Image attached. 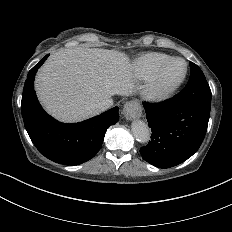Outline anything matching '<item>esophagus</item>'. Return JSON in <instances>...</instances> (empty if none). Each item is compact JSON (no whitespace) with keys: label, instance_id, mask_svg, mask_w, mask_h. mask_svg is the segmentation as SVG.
I'll use <instances>...</instances> for the list:
<instances>
[{"label":"esophagus","instance_id":"obj_1","mask_svg":"<svg viewBox=\"0 0 232 232\" xmlns=\"http://www.w3.org/2000/svg\"><path fill=\"white\" fill-rule=\"evenodd\" d=\"M123 114L127 120L140 118L142 115V106L138 100H131L123 107Z\"/></svg>","mask_w":232,"mask_h":232}]
</instances>
